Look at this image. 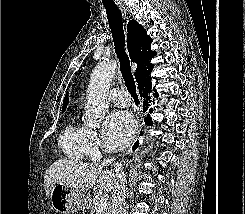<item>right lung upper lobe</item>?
<instances>
[{"label":"right lung upper lobe","mask_w":245,"mask_h":214,"mask_svg":"<svg viewBox=\"0 0 245 214\" xmlns=\"http://www.w3.org/2000/svg\"><path fill=\"white\" fill-rule=\"evenodd\" d=\"M127 32V48L131 61L137 63L135 78L138 83L152 70L153 65L150 63V60L157 53L150 49L152 39L136 20H130L128 22ZM67 104L68 93L64 98L62 111L66 109Z\"/></svg>","instance_id":"1"}]
</instances>
